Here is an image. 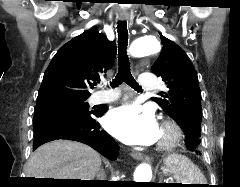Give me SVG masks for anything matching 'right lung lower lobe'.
I'll return each instance as SVG.
<instances>
[{
	"label": "right lung lower lobe",
	"mask_w": 240,
	"mask_h": 187,
	"mask_svg": "<svg viewBox=\"0 0 240 187\" xmlns=\"http://www.w3.org/2000/svg\"><path fill=\"white\" fill-rule=\"evenodd\" d=\"M106 110L105 106H101L89 117L73 118L53 113L34 120V149L49 141L69 139L87 144L105 157L115 160L119 146L104 130H100L97 120Z\"/></svg>",
	"instance_id": "1"
}]
</instances>
